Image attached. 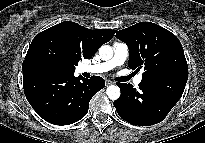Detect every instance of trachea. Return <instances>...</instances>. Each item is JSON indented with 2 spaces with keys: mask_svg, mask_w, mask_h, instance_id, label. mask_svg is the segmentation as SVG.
Masks as SVG:
<instances>
[{
  "mask_svg": "<svg viewBox=\"0 0 205 143\" xmlns=\"http://www.w3.org/2000/svg\"><path fill=\"white\" fill-rule=\"evenodd\" d=\"M133 75L130 74L128 76H123V77H118L117 80L120 82H126L127 80H129Z\"/></svg>",
  "mask_w": 205,
  "mask_h": 143,
  "instance_id": "3493384b",
  "label": "trachea"
}]
</instances>
